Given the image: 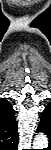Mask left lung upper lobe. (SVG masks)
<instances>
[{"label": "left lung upper lobe", "mask_w": 51, "mask_h": 150, "mask_svg": "<svg viewBox=\"0 0 51 150\" xmlns=\"http://www.w3.org/2000/svg\"><path fill=\"white\" fill-rule=\"evenodd\" d=\"M39 132L45 133L48 138L51 136V103H49L43 111L37 128V133Z\"/></svg>", "instance_id": "1"}]
</instances>
